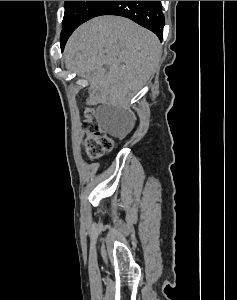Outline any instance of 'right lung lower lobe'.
Masks as SVG:
<instances>
[{"instance_id":"98d812e1","label":"right lung lower lobe","mask_w":237,"mask_h":300,"mask_svg":"<svg viewBox=\"0 0 237 300\" xmlns=\"http://www.w3.org/2000/svg\"><path fill=\"white\" fill-rule=\"evenodd\" d=\"M127 17L163 37L164 16L160 1H110L98 14Z\"/></svg>"}]
</instances>
